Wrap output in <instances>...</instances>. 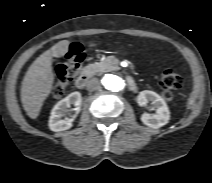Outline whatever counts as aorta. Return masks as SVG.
Instances as JSON below:
<instances>
[{"mask_svg":"<svg viewBox=\"0 0 212 183\" xmlns=\"http://www.w3.org/2000/svg\"><path fill=\"white\" fill-rule=\"evenodd\" d=\"M102 85L106 90L117 93L125 89L126 83L125 80L118 75L106 74L102 78Z\"/></svg>","mask_w":212,"mask_h":183,"instance_id":"1","label":"aorta"}]
</instances>
